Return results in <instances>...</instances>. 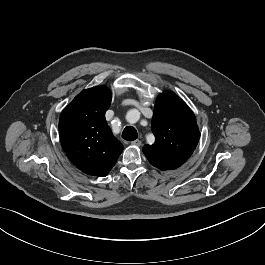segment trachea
Returning <instances> with one entry per match:
<instances>
[{"label":"trachea","instance_id":"3493384b","mask_svg":"<svg viewBox=\"0 0 265 265\" xmlns=\"http://www.w3.org/2000/svg\"><path fill=\"white\" fill-rule=\"evenodd\" d=\"M138 137L137 131L132 126H127L122 133V138L127 141H134Z\"/></svg>","mask_w":265,"mask_h":265}]
</instances>
